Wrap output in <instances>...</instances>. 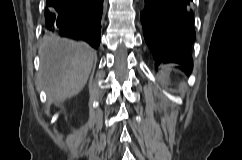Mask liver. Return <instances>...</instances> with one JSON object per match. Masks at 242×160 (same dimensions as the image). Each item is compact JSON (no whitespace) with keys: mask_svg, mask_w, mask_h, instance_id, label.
I'll use <instances>...</instances> for the list:
<instances>
[{"mask_svg":"<svg viewBox=\"0 0 242 160\" xmlns=\"http://www.w3.org/2000/svg\"><path fill=\"white\" fill-rule=\"evenodd\" d=\"M39 81L55 101L71 98L83 89L96 51L88 44L68 39H46L39 49Z\"/></svg>","mask_w":242,"mask_h":160,"instance_id":"1","label":"liver"}]
</instances>
